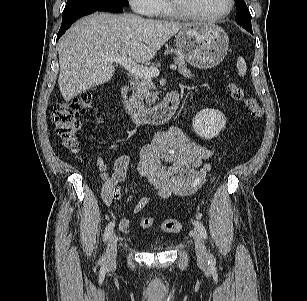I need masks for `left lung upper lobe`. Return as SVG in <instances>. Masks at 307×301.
<instances>
[{
  "instance_id": "1",
  "label": "left lung upper lobe",
  "mask_w": 307,
  "mask_h": 301,
  "mask_svg": "<svg viewBox=\"0 0 307 301\" xmlns=\"http://www.w3.org/2000/svg\"><path fill=\"white\" fill-rule=\"evenodd\" d=\"M237 9L236 21L244 28L251 27V14L244 0H235Z\"/></svg>"
}]
</instances>
